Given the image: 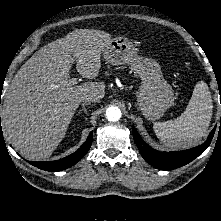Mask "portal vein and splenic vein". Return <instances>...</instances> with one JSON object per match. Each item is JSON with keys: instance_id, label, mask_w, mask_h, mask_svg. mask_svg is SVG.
<instances>
[{"instance_id": "18ae733b", "label": "portal vein and splenic vein", "mask_w": 221, "mask_h": 221, "mask_svg": "<svg viewBox=\"0 0 221 221\" xmlns=\"http://www.w3.org/2000/svg\"><path fill=\"white\" fill-rule=\"evenodd\" d=\"M72 85H76L77 84V79L76 78H73L70 82Z\"/></svg>"}]
</instances>
